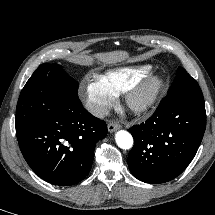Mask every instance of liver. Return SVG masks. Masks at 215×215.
I'll list each match as a JSON object with an SVG mask.
<instances>
[{"label": "liver", "mask_w": 215, "mask_h": 215, "mask_svg": "<svg viewBox=\"0 0 215 215\" xmlns=\"http://www.w3.org/2000/svg\"><path fill=\"white\" fill-rule=\"evenodd\" d=\"M127 57V53L123 51H114L108 53H99L96 58L104 63L113 64L124 60Z\"/></svg>", "instance_id": "6515ba94"}]
</instances>
